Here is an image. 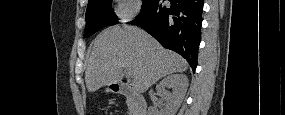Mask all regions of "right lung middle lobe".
I'll return each mask as SVG.
<instances>
[{"mask_svg":"<svg viewBox=\"0 0 285 115\" xmlns=\"http://www.w3.org/2000/svg\"><path fill=\"white\" fill-rule=\"evenodd\" d=\"M154 0H143L142 8L149 6ZM112 0H89L86 11V27L84 37L93 35L98 30L118 23L111 9Z\"/></svg>","mask_w":285,"mask_h":115,"instance_id":"1","label":"right lung middle lobe"}]
</instances>
